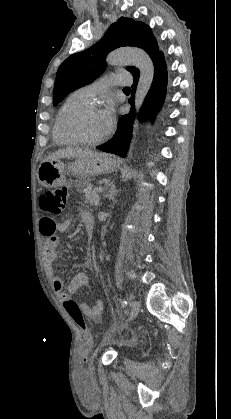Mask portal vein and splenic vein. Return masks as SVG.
I'll list each match as a JSON object with an SVG mask.
<instances>
[{
  "label": "portal vein and splenic vein",
  "instance_id": "1",
  "mask_svg": "<svg viewBox=\"0 0 231 419\" xmlns=\"http://www.w3.org/2000/svg\"><path fill=\"white\" fill-rule=\"evenodd\" d=\"M96 190H97V192L101 193V192H103L104 189H103V187L99 186V187L96 188Z\"/></svg>",
  "mask_w": 231,
  "mask_h": 419
}]
</instances>
